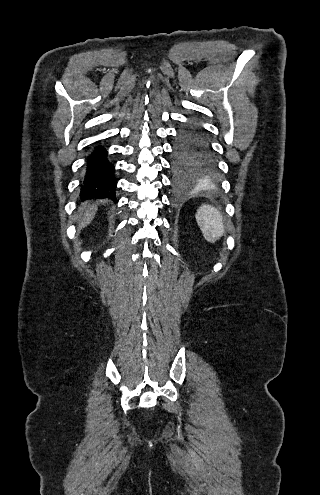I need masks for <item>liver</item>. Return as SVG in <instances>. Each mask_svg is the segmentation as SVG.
Returning <instances> with one entry per match:
<instances>
[{"label": "liver", "mask_w": 320, "mask_h": 495, "mask_svg": "<svg viewBox=\"0 0 320 495\" xmlns=\"http://www.w3.org/2000/svg\"><path fill=\"white\" fill-rule=\"evenodd\" d=\"M79 210H80V218L78 220L79 221L78 227L79 229H82L85 228L88 224H90L91 221L93 220L97 211V205L94 203L92 205L88 204L87 206V202H85L81 204Z\"/></svg>", "instance_id": "6515ba94"}]
</instances>
